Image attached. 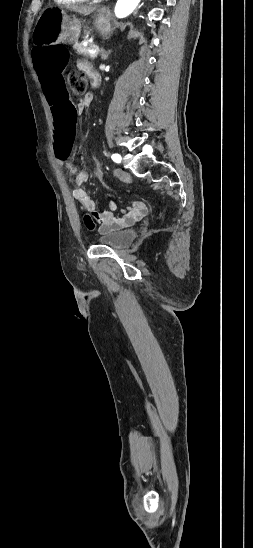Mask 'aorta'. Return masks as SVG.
<instances>
[{
  "mask_svg": "<svg viewBox=\"0 0 253 548\" xmlns=\"http://www.w3.org/2000/svg\"><path fill=\"white\" fill-rule=\"evenodd\" d=\"M141 0H118L114 9L117 18H125L131 14Z\"/></svg>",
  "mask_w": 253,
  "mask_h": 548,
  "instance_id": "1",
  "label": "aorta"
}]
</instances>
